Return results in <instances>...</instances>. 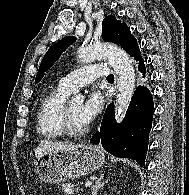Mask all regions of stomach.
Returning a JSON list of instances; mask_svg holds the SVG:
<instances>
[{
    "instance_id": "0dacf381",
    "label": "stomach",
    "mask_w": 189,
    "mask_h": 195,
    "mask_svg": "<svg viewBox=\"0 0 189 195\" xmlns=\"http://www.w3.org/2000/svg\"><path fill=\"white\" fill-rule=\"evenodd\" d=\"M105 163V155L97 146H84L74 151H53L37 158L35 171L45 183L59 184L91 173Z\"/></svg>"
}]
</instances>
